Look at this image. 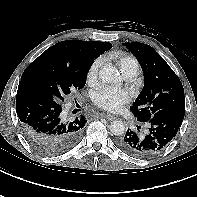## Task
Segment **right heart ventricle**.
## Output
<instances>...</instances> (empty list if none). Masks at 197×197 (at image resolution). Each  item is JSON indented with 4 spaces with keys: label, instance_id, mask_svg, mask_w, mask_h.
I'll list each match as a JSON object with an SVG mask.
<instances>
[{
    "label": "right heart ventricle",
    "instance_id": "1",
    "mask_svg": "<svg viewBox=\"0 0 197 197\" xmlns=\"http://www.w3.org/2000/svg\"><path fill=\"white\" fill-rule=\"evenodd\" d=\"M116 60L123 75L126 74L138 75L140 71V65L138 60L134 56L127 53H118L116 55Z\"/></svg>",
    "mask_w": 197,
    "mask_h": 197
}]
</instances>
